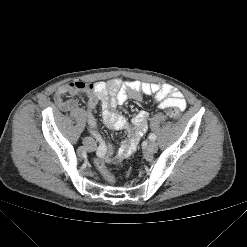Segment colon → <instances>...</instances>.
Masks as SVG:
<instances>
[{
    "instance_id": "colon-1",
    "label": "colon",
    "mask_w": 247,
    "mask_h": 247,
    "mask_svg": "<svg viewBox=\"0 0 247 247\" xmlns=\"http://www.w3.org/2000/svg\"><path fill=\"white\" fill-rule=\"evenodd\" d=\"M167 114L172 118V119H178L180 116V112L178 109L173 108L168 110ZM97 168L100 171V173L102 174V176L110 183L114 182L115 178L114 176L111 174V172L106 168L105 163L103 162V160H98L96 162Z\"/></svg>"
}]
</instances>
